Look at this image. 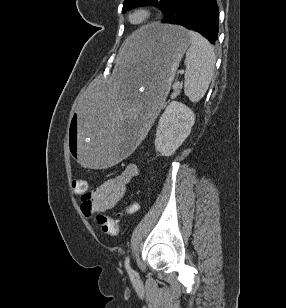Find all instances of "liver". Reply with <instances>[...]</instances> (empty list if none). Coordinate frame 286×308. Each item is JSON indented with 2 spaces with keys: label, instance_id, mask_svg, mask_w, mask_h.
Returning <instances> with one entry per match:
<instances>
[{
  "label": "liver",
  "instance_id": "6515ba94",
  "mask_svg": "<svg viewBox=\"0 0 286 308\" xmlns=\"http://www.w3.org/2000/svg\"><path fill=\"white\" fill-rule=\"evenodd\" d=\"M138 42L139 37L137 32H135L129 38H127L122 45V48L120 50L121 56L128 58L130 61H133V53L138 45Z\"/></svg>",
  "mask_w": 286,
  "mask_h": 308
}]
</instances>
